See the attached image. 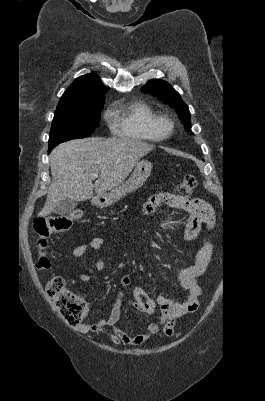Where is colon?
I'll use <instances>...</instances> for the list:
<instances>
[{
  "instance_id": "obj_1",
  "label": "colon",
  "mask_w": 265,
  "mask_h": 401,
  "mask_svg": "<svg viewBox=\"0 0 265 401\" xmlns=\"http://www.w3.org/2000/svg\"><path fill=\"white\" fill-rule=\"evenodd\" d=\"M197 186V178L194 174H187L177 185L176 191L179 196L190 195ZM83 212L75 209L60 216L39 217L33 222V229L36 235L35 246L39 251L37 267L48 269L49 261L44 254L47 245V238L55 232L67 230L74 221L80 220ZM46 294L53 301L62 320L71 326L79 325L85 318L88 310L86 301L70 291L62 277L55 276L46 284ZM165 335L171 336L173 328L170 324L163 327Z\"/></svg>"
}]
</instances>
